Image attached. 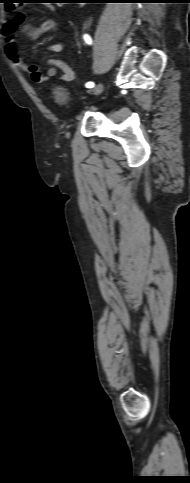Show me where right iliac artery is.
<instances>
[{
  "mask_svg": "<svg viewBox=\"0 0 190 483\" xmlns=\"http://www.w3.org/2000/svg\"><path fill=\"white\" fill-rule=\"evenodd\" d=\"M84 39H85L86 43H88V44H91L92 43V40H91V38H90L89 35H84ZM86 87L87 88H93L94 87V83L93 82H87L86 83Z\"/></svg>",
  "mask_w": 190,
  "mask_h": 483,
  "instance_id": "right-iliac-artery-1",
  "label": "right iliac artery"
}]
</instances>
